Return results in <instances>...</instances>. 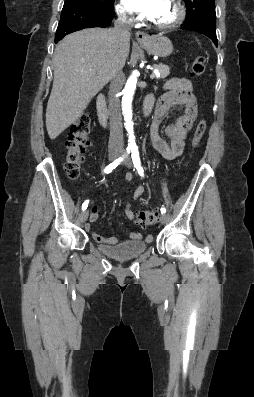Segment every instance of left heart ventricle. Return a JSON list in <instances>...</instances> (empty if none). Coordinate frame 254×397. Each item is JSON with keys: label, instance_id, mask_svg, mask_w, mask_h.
I'll return each instance as SVG.
<instances>
[{"label": "left heart ventricle", "instance_id": "b2bd125f", "mask_svg": "<svg viewBox=\"0 0 254 397\" xmlns=\"http://www.w3.org/2000/svg\"><path fill=\"white\" fill-rule=\"evenodd\" d=\"M176 8L171 0H166L162 9L153 19L154 23L165 24L173 21L176 17Z\"/></svg>", "mask_w": 254, "mask_h": 397}]
</instances>
